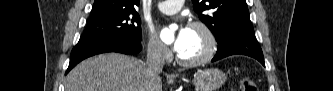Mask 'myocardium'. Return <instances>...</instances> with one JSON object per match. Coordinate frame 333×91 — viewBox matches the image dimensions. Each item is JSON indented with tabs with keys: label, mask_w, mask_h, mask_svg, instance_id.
Masks as SVG:
<instances>
[{
	"label": "myocardium",
	"mask_w": 333,
	"mask_h": 91,
	"mask_svg": "<svg viewBox=\"0 0 333 91\" xmlns=\"http://www.w3.org/2000/svg\"><path fill=\"white\" fill-rule=\"evenodd\" d=\"M189 28L199 29L202 31L207 40V47L201 56L194 59H186L178 54L177 61L183 66H198L208 62L214 57L217 51V39L212 29L204 22L193 21L190 23Z\"/></svg>",
	"instance_id": "f54148a6"
}]
</instances>
